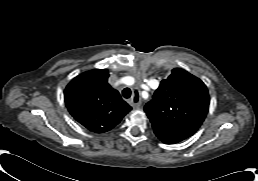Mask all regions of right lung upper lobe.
<instances>
[{
    "instance_id": "right-lung-upper-lobe-1",
    "label": "right lung upper lobe",
    "mask_w": 258,
    "mask_h": 181,
    "mask_svg": "<svg viewBox=\"0 0 258 181\" xmlns=\"http://www.w3.org/2000/svg\"><path fill=\"white\" fill-rule=\"evenodd\" d=\"M106 69H94L75 77L66 87L64 99L70 114L87 129L103 133L131 110L118 91L107 82Z\"/></svg>"
}]
</instances>
